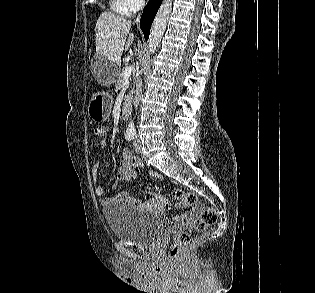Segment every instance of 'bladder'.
I'll use <instances>...</instances> for the list:
<instances>
[{
	"mask_svg": "<svg viewBox=\"0 0 315 293\" xmlns=\"http://www.w3.org/2000/svg\"><path fill=\"white\" fill-rule=\"evenodd\" d=\"M112 234L142 248L153 247L162 236V229L147 212L126 202H113L103 211Z\"/></svg>",
	"mask_w": 315,
	"mask_h": 293,
	"instance_id": "1",
	"label": "bladder"
}]
</instances>
